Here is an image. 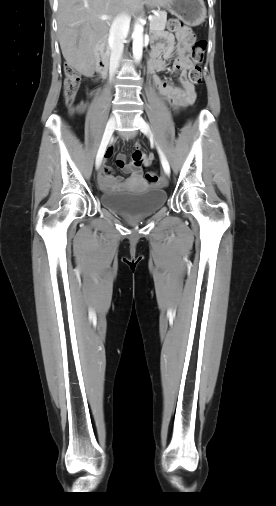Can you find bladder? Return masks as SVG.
<instances>
[{"instance_id":"obj_1","label":"bladder","mask_w":276,"mask_h":506,"mask_svg":"<svg viewBox=\"0 0 276 506\" xmlns=\"http://www.w3.org/2000/svg\"><path fill=\"white\" fill-rule=\"evenodd\" d=\"M166 191L147 187L140 191H113L100 195L101 203L111 211L130 217L147 216L164 205Z\"/></svg>"}]
</instances>
